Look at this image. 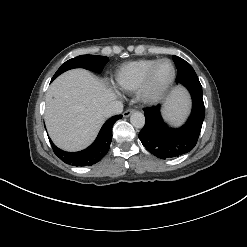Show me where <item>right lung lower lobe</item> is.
Returning a JSON list of instances; mask_svg holds the SVG:
<instances>
[{"mask_svg": "<svg viewBox=\"0 0 247 247\" xmlns=\"http://www.w3.org/2000/svg\"><path fill=\"white\" fill-rule=\"evenodd\" d=\"M54 79H52L53 81ZM122 118V115H115L108 119L102 126L96 140L85 150L79 152H65L57 148L50 140L54 153L66 164L75 166H91L100 161L108 152L112 140L113 124Z\"/></svg>", "mask_w": 247, "mask_h": 247, "instance_id": "1", "label": "right lung lower lobe"}]
</instances>
